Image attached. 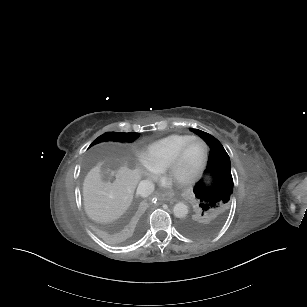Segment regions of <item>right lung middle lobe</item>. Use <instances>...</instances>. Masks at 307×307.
<instances>
[{
  "label": "right lung middle lobe",
  "instance_id": "dd1d6c3e",
  "mask_svg": "<svg viewBox=\"0 0 307 307\" xmlns=\"http://www.w3.org/2000/svg\"><path fill=\"white\" fill-rule=\"evenodd\" d=\"M138 137L139 133H133V132L131 133L106 132L101 136H99L97 139H95L90 145V147L103 141L133 142Z\"/></svg>",
  "mask_w": 307,
  "mask_h": 307
}]
</instances>
